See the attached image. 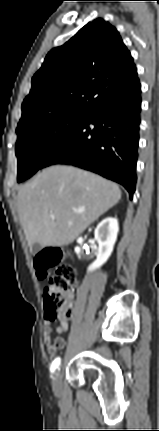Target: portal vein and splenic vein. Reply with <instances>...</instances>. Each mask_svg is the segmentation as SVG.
<instances>
[{
	"mask_svg": "<svg viewBox=\"0 0 159 431\" xmlns=\"http://www.w3.org/2000/svg\"><path fill=\"white\" fill-rule=\"evenodd\" d=\"M73 212H75V213H83V212H85V209H84V208H79V209H75V210H73ZM50 217H51L52 219H54V218H55V215H54V214H50Z\"/></svg>",
	"mask_w": 159,
	"mask_h": 431,
	"instance_id": "18ae733b",
	"label": "portal vein and splenic vein"
}]
</instances>
